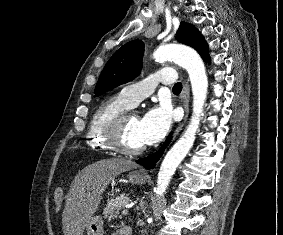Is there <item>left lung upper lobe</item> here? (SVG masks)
Masks as SVG:
<instances>
[{"label":"left lung upper lobe","instance_id":"left-lung-upper-lobe-1","mask_svg":"<svg viewBox=\"0 0 283 235\" xmlns=\"http://www.w3.org/2000/svg\"><path fill=\"white\" fill-rule=\"evenodd\" d=\"M176 40L193 47L201 57L209 62L207 43L191 24L181 22ZM144 43L133 40L119 48L105 65L95 88V96L133 80L141 70Z\"/></svg>","mask_w":283,"mask_h":235}]
</instances>
